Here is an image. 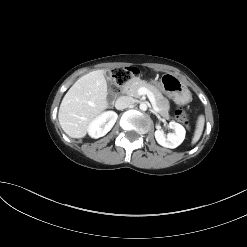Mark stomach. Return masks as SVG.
Instances as JSON below:
<instances>
[{"mask_svg":"<svg viewBox=\"0 0 247 247\" xmlns=\"http://www.w3.org/2000/svg\"><path fill=\"white\" fill-rule=\"evenodd\" d=\"M157 85L176 104L185 105L191 99V94L187 86L173 74H164Z\"/></svg>","mask_w":247,"mask_h":247,"instance_id":"0dacf381","label":"stomach"}]
</instances>
